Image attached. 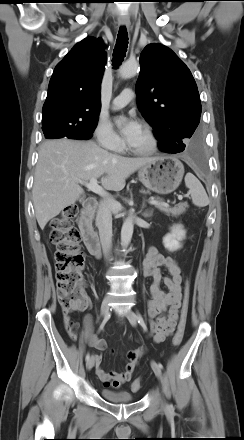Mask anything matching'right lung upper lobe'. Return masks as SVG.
<instances>
[{
	"label": "right lung upper lobe",
	"mask_w": 244,
	"mask_h": 440,
	"mask_svg": "<svg viewBox=\"0 0 244 440\" xmlns=\"http://www.w3.org/2000/svg\"><path fill=\"white\" fill-rule=\"evenodd\" d=\"M104 49L101 39L85 38L56 66L43 106L42 122L65 120L87 124L98 119L106 62Z\"/></svg>",
	"instance_id": "1"
}]
</instances>
